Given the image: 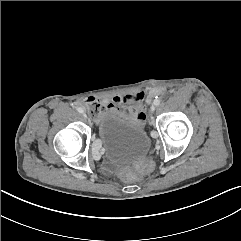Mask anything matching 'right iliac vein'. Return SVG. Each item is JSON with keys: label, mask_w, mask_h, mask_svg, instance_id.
<instances>
[{"label": "right iliac vein", "mask_w": 241, "mask_h": 241, "mask_svg": "<svg viewBox=\"0 0 241 241\" xmlns=\"http://www.w3.org/2000/svg\"><path fill=\"white\" fill-rule=\"evenodd\" d=\"M83 116H84L85 118H87V114H86V113H83Z\"/></svg>", "instance_id": "obj_1"}]
</instances>
